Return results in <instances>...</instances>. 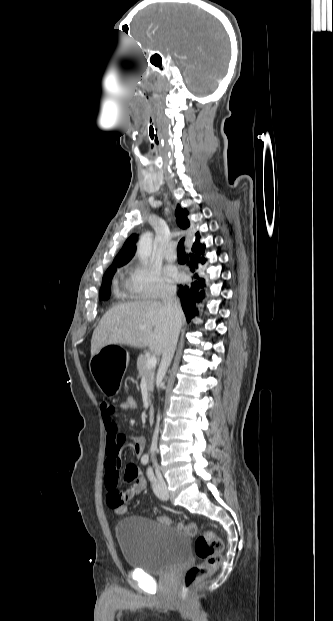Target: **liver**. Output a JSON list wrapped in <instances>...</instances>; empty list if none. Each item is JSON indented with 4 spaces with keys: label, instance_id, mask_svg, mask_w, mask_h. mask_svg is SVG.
<instances>
[{
    "label": "liver",
    "instance_id": "1",
    "mask_svg": "<svg viewBox=\"0 0 333 621\" xmlns=\"http://www.w3.org/2000/svg\"><path fill=\"white\" fill-rule=\"evenodd\" d=\"M180 325L185 323L182 311ZM170 328L167 311L161 302L138 301L119 304L108 310L94 330L91 356L111 344L134 348L149 347L155 354H163Z\"/></svg>",
    "mask_w": 333,
    "mask_h": 621
}]
</instances>
